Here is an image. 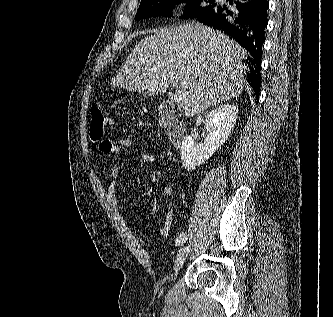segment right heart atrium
<instances>
[{
  "label": "right heart atrium",
  "instance_id": "obj_1",
  "mask_svg": "<svg viewBox=\"0 0 333 317\" xmlns=\"http://www.w3.org/2000/svg\"><path fill=\"white\" fill-rule=\"evenodd\" d=\"M181 6H182L181 3H174L171 5V9L173 11H179L181 9Z\"/></svg>",
  "mask_w": 333,
  "mask_h": 317
}]
</instances>
